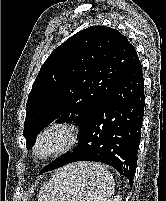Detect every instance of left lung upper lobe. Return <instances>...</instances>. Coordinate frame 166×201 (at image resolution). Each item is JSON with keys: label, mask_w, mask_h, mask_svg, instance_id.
Here are the masks:
<instances>
[{"label": "left lung upper lobe", "mask_w": 166, "mask_h": 201, "mask_svg": "<svg viewBox=\"0 0 166 201\" xmlns=\"http://www.w3.org/2000/svg\"><path fill=\"white\" fill-rule=\"evenodd\" d=\"M136 50L116 29L86 28L57 47L42 65L26 105L27 149L51 122L80 128L125 73Z\"/></svg>", "instance_id": "1"}]
</instances>
